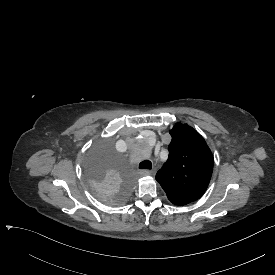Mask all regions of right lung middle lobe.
Returning <instances> with one entry per match:
<instances>
[{
  "label": "right lung middle lobe",
  "mask_w": 275,
  "mask_h": 275,
  "mask_svg": "<svg viewBox=\"0 0 275 275\" xmlns=\"http://www.w3.org/2000/svg\"><path fill=\"white\" fill-rule=\"evenodd\" d=\"M84 173L95 198L109 207L128 200L136 183L131 164L106 136L93 141L85 157Z\"/></svg>",
  "instance_id": "obj_1"
}]
</instances>
